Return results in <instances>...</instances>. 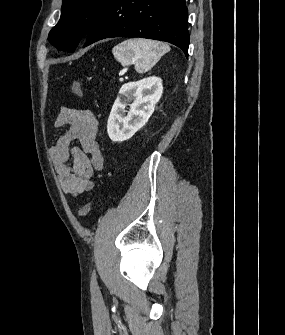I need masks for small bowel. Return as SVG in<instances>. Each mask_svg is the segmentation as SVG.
Listing matches in <instances>:
<instances>
[{
    "label": "small bowel",
    "instance_id": "obj_1",
    "mask_svg": "<svg viewBox=\"0 0 285 335\" xmlns=\"http://www.w3.org/2000/svg\"><path fill=\"white\" fill-rule=\"evenodd\" d=\"M54 126L68 127L50 148L63 191L79 196L93 188L92 177L103 168L104 159L96 140L98 121L90 110L62 107ZM77 141L78 145L71 147Z\"/></svg>",
    "mask_w": 285,
    "mask_h": 335
}]
</instances>
